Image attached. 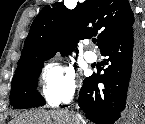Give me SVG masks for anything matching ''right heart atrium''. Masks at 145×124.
I'll use <instances>...</instances> for the list:
<instances>
[{"instance_id":"obj_1","label":"right heart atrium","mask_w":145,"mask_h":124,"mask_svg":"<svg viewBox=\"0 0 145 124\" xmlns=\"http://www.w3.org/2000/svg\"><path fill=\"white\" fill-rule=\"evenodd\" d=\"M74 72L52 61L45 64L41 73V92L49 103H59L72 97L76 91Z\"/></svg>"}]
</instances>
